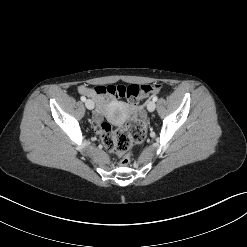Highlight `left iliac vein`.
Returning <instances> with one entry per match:
<instances>
[{"instance_id":"left-iliac-vein-1","label":"left iliac vein","mask_w":247,"mask_h":247,"mask_svg":"<svg viewBox=\"0 0 247 247\" xmlns=\"http://www.w3.org/2000/svg\"><path fill=\"white\" fill-rule=\"evenodd\" d=\"M155 108H156L155 102L153 100L148 101V103H147V109H148V111L149 112H153L155 110Z\"/></svg>"}]
</instances>
